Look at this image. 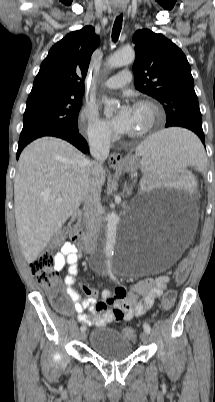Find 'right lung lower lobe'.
Listing matches in <instances>:
<instances>
[{
	"mask_svg": "<svg viewBox=\"0 0 215 402\" xmlns=\"http://www.w3.org/2000/svg\"><path fill=\"white\" fill-rule=\"evenodd\" d=\"M50 136L62 138L64 140L70 142L75 147H77L79 150H81L83 153L88 152V144H87L86 140L78 133V131H76V132H60V133H57L55 135H50ZM25 146L26 145H18L17 159L19 158V155Z\"/></svg>",
	"mask_w": 215,
	"mask_h": 402,
	"instance_id": "right-lung-lower-lobe-1",
	"label": "right lung lower lobe"
}]
</instances>
